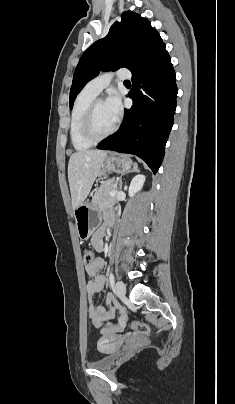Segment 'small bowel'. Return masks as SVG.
I'll return each mask as SVG.
<instances>
[{"label": "small bowel", "mask_w": 235, "mask_h": 404, "mask_svg": "<svg viewBox=\"0 0 235 404\" xmlns=\"http://www.w3.org/2000/svg\"><path fill=\"white\" fill-rule=\"evenodd\" d=\"M104 233L105 226H102L91 238V245L97 251H101L103 248ZM103 267L104 261L101 258H96L92 264L86 265V272L91 277L86 286L89 302L88 314L93 325L97 328H101L104 321L113 318L118 309V306L113 301L112 297L107 299L109 310H106L105 307L101 305H95L93 303L94 295L101 292L105 285V277L100 273Z\"/></svg>", "instance_id": "c3829d8e"}]
</instances>
